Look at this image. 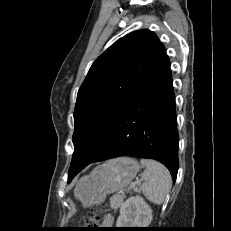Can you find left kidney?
<instances>
[{
  "instance_id": "left-kidney-1",
  "label": "left kidney",
  "mask_w": 231,
  "mask_h": 231,
  "mask_svg": "<svg viewBox=\"0 0 231 231\" xmlns=\"http://www.w3.org/2000/svg\"><path fill=\"white\" fill-rule=\"evenodd\" d=\"M152 221V209L140 196L128 198L120 209L117 228H146Z\"/></svg>"
}]
</instances>
